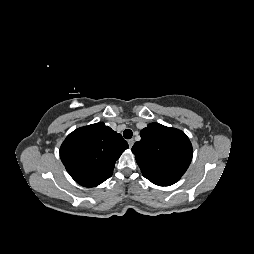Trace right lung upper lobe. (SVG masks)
I'll return each instance as SVG.
<instances>
[{"mask_svg": "<svg viewBox=\"0 0 254 254\" xmlns=\"http://www.w3.org/2000/svg\"><path fill=\"white\" fill-rule=\"evenodd\" d=\"M127 148L121 134L99 122L70 133L60 147V158L78 184L95 187L111 177Z\"/></svg>", "mask_w": 254, "mask_h": 254, "instance_id": "1", "label": "right lung upper lobe"}]
</instances>
